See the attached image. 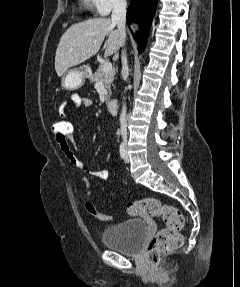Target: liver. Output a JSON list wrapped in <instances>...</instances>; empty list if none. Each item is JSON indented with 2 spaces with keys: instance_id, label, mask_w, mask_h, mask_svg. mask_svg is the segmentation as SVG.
Wrapping results in <instances>:
<instances>
[{
  "instance_id": "obj_1",
  "label": "liver",
  "mask_w": 240,
  "mask_h": 287,
  "mask_svg": "<svg viewBox=\"0 0 240 287\" xmlns=\"http://www.w3.org/2000/svg\"><path fill=\"white\" fill-rule=\"evenodd\" d=\"M110 18H93L72 25L61 37L55 55V70L62 76L70 67L95 55L108 36L105 55L114 54L122 45L120 33Z\"/></svg>"
}]
</instances>
